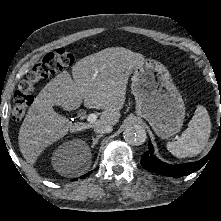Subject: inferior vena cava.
<instances>
[{
  "mask_svg": "<svg viewBox=\"0 0 221 221\" xmlns=\"http://www.w3.org/2000/svg\"><path fill=\"white\" fill-rule=\"evenodd\" d=\"M112 130H113V127L110 124H96L94 126L95 133H99V134L109 133Z\"/></svg>",
  "mask_w": 221,
  "mask_h": 221,
  "instance_id": "602c4592",
  "label": "inferior vena cava"
}]
</instances>
